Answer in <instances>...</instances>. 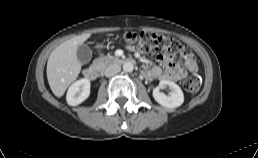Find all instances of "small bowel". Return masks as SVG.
<instances>
[{"instance_id":"c3829d8e","label":"small bowel","mask_w":258,"mask_h":158,"mask_svg":"<svg viewBox=\"0 0 258 158\" xmlns=\"http://www.w3.org/2000/svg\"><path fill=\"white\" fill-rule=\"evenodd\" d=\"M157 59L160 65L153 66L151 69L144 68L142 70V73L147 78L177 82L185 78L188 73L197 71V64L192 54L185 58L183 67L175 64L172 57L165 53L159 54Z\"/></svg>"}]
</instances>
